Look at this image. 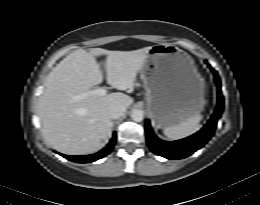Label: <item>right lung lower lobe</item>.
I'll return each mask as SVG.
<instances>
[{"label":"right lung lower lobe","mask_w":260,"mask_h":205,"mask_svg":"<svg viewBox=\"0 0 260 205\" xmlns=\"http://www.w3.org/2000/svg\"><path fill=\"white\" fill-rule=\"evenodd\" d=\"M116 133L113 134V137L111 139V141L109 142V144L100 152L96 153V154H91V155H85V156H68V155H64V154H60L61 156L65 157L66 159L73 161V162H77V163H90V162H94L100 158H103L104 156H106L107 154L110 153V151L113 148V145L116 141Z\"/></svg>","instance_id":"1"}]
</instances>
